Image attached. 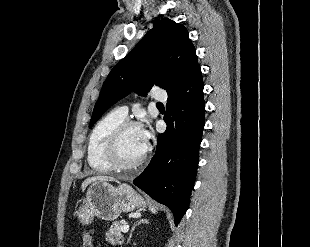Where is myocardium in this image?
Returning <instances> with one entry per match:
<instances>
[{
  "label": "myocardium",
  "instance_id": "f54148a6",
  "mask_svg": "<svg viewBox=\"0 0 310 247\" xmlns=\"http://www.w3.org/2000/svg\"><path fill=\"white\" fill-rule=\"evenodd\" d=\"M133 127L142 129V125L140 123L125 119L124 121L119 123L110 133L107 139L106 145H105V149H104V158L107 164L110 166L111 170H114V171L136 170L139 167H141L146 161L149 155L150 149H151V146L149 143H147L146 150L144 154L142 155V157L136 162L132 164H124L120 160V155H119L120 140L124 132L128 130L129 128H133Z\"/></svg>",
  "mask_w": 310,
  "mask_h": 247
}]
</instances>
